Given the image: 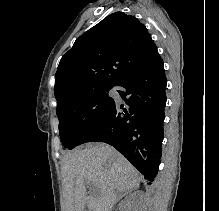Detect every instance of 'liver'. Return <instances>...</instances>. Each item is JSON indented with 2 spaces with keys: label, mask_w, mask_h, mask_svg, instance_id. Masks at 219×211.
<instances>
[{
  "label": "liver",
  "mask_w": 219,
  "mask_h": 211,
  "mask_svg": "<svg viewBox=\"0 0 219 211\" xmlns=\"http://www.w3.org/2000/svg\"><path fill=\"white\" fill-rule=\"evenodd\" d=\"M62 185L67 211H112L120 193L137 189L138 169L107 143H88L63 157ZM90 179L98 193L87 195Z\"/></svg>",
  "instance_id": "1"
}]
</instances>
